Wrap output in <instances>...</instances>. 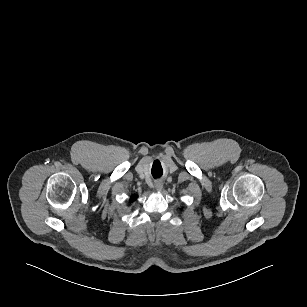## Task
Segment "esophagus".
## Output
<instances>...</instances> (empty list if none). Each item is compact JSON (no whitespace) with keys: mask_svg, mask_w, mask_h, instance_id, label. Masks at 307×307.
<instances>
[{"mask_svg":"<svg viewBox=\"0 0 307 307\" xmlns=\"http://www.w3.org/2000/svg\"><path fill=\"white\" fill-rule=\"evenodd\" d=\"M162 187H163V183H162V182L156 181V182L154 183V188H155L157 191H161Z\"/></svg>","mask_w":307,"mask_h":307,"instance_id":"1","label":"esophagus"}]
</instances>
